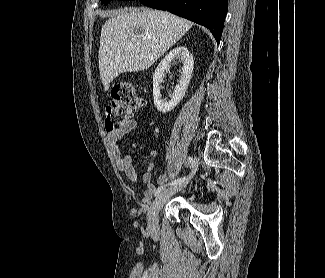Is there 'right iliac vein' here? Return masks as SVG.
<instances>
[{
    "label": "right iliac vein",
    "instance_id": "obj_1",
    "mask_svg": "<svg viewBox=\"0 0 325 278\" xmlns=\"http://www.w3.org/2000/svg\"><path fill=\"white\" fill-rule=\"evenodd\" d=\"M196 168L192 171L191 175L187 179V181L183 182L182 184L176 185L174 187H171L162 193H160L156 199L153 201L149 211H148V230L150 233L155 234L159 230V224H158V213L163 207V205L166 203L168 198L173 195L174 193L182 190L188 183V180L193 176L195 173Z\"/></svg>",
    "mask_w": 325,
    "mask_h": 278
}]
</instances>
